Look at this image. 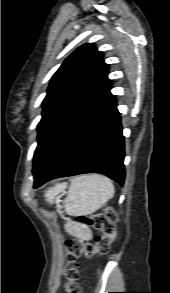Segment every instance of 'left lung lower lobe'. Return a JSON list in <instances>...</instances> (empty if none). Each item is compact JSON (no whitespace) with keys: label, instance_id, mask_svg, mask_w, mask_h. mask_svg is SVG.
Wrapping results in <instances>:
<instances>
[{"label":"left lung lower lobe","instance_id":"obj_1","mask_svg":"<svg viewBox=\"0 0 170 293\" xmlns=\"http://www.w3.org/2000/svg\"><path fill=\"white\" fill-rule=\"evenodd\" d=\"M112 94L78 129L48 168L34 176V188L55 178L100 173L124 184V137Z\"/></svg>","mask_w":170,"mask_h":293}]
</instances>
